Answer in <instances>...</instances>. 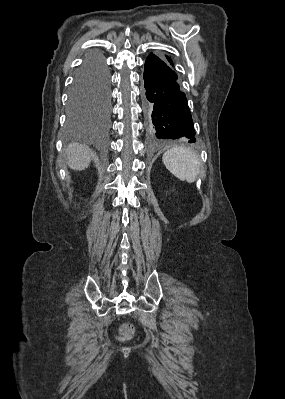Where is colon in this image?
<instances>
[{
  "label": "colon",
  "instance_id": "1",
  "mask_svg": "<svg viewBox=\"0 0 285 399\" xmlns=\"http://www.w3.org/2000/svg\"><path fill=\"white\" fill-rule=\"evenodd\" d=\"M133 334V329L130 327H124L121 329V337L126 338Z\"/></svg>",
  "mask_w": 285,
  "mask_h": 399
}]
</instances>
